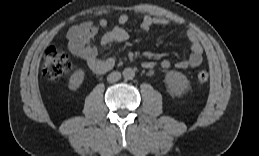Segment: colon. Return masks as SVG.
Wrapping results in <instances>:
<instances>
[{
    "instance_id": "1",
    "label": "colon",
    "mask_w": 259,
    "mask_h": 156,
    "mask_svg": "<svg viewBox=\"0 0 259 156\" xmlns=\"http://www.w3.org/2000/svg\"><path fill=\"white\" fill-rule=\"evenodd\" d=\"M72 67L69 56L55 47H49L44 52L42 58V71L44 76L50 81H57L68 73ZM209 79V73L201 70L196 76L199 84H204Z\"/></svg>"
}]
</instances>
